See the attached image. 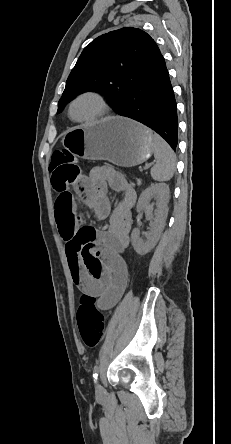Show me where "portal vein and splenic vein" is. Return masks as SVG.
<instances>
[{"mask_svg": "<svg viewBox=\"0 0 231 444\" xmlns=\"http://www.w3.org/2000/svg\"><path fill=\"white\" fill-rule=\"evenodd\" d=\"M149 167V165H147L145 168H148Z\"/></svg>", "mask_w": 231, "mask_h": 444, "instance_id": "18ae733b", "label": "portal vein and splenic vein"}]
</instances>
